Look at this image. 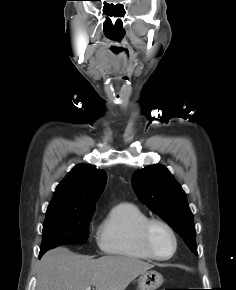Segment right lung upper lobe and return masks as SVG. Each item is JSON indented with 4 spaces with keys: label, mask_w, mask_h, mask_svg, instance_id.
Returning a JSON list of instances; mask_svg holds the SVG:
<instances>
[{
    "label": "right lung upper lobe",
    "mask_w": 236,
    "mask_h": 290,
    "mask_svg": "<svg viewBox=\"0 0 236 290\" xmlns=\"http://www.w3.org/2000/svg\"><path fill=\"white\" fill-rule=\"evenodd\" d=\"M104 170L78 164L57 186L47 213H83L94 211V204L106 184Z\"/></svg>",
    "instance_id": "right-lung-upper-lobe-1"
}]
</instances>
